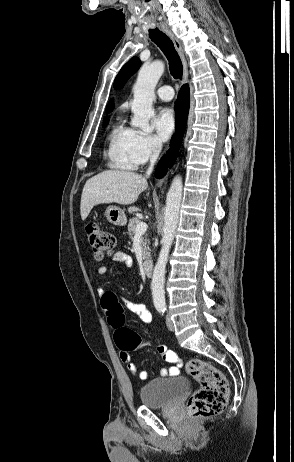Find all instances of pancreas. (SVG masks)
Here are the masks:
<instances>
[{
	"label": "pancreas",
	"instance_id": "obj_1",
	"mask_svg": "<svg viewBox=\"0 0 294 462\" xmlns=\"http://www.w3.org/2000/svg\"><path fill=\"white\" fill-rule=\"evenodd\" d=\"M140 222V220L136 217L129 220L128 223V234L129 237L133 240L134 236L136 235V226ZM140 244L142 248V258L148 259L150 257V248H149V239H147L146 235H140Z\"/></svg>",
	"mask_w": 294,
	"mask_h": 462
}]
</instances>
